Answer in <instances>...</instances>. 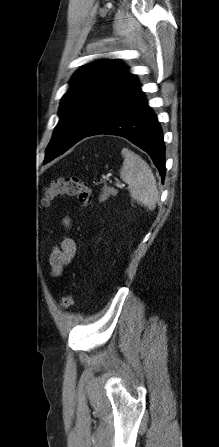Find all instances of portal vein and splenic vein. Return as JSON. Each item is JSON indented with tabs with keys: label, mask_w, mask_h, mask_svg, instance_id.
Here are the masks:
<instances>
[{
	"label": "portal vein and splenic vein",
	"mask_w": 219,
	"mask_h": 447,
	"mask_svg": "<svg viewBox=\"0 0 219 447\" xmlns=\"http://www.w3.org/2000/svg\"><path fill=\"white\" fill-rule=\"evenodd\" d=\"M114 185L118 188H123L124 184L120 183V182H114Z\"/></svg>",
	"instance_id": "portal-vein-and-splenic-vein-1"
}]
</instances>
